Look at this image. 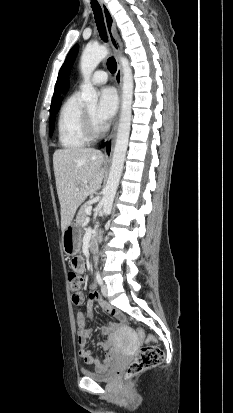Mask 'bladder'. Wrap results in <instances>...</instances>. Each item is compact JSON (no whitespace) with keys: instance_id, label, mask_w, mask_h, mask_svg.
Wrapping results in <instances>:
<instances>
[{"instance_id":"31cf9c89","label":"bladder","mask_w":233,"mask_h":413,"mask_svg":"<svg viewBox=\"0 0 233 413\" xmlns=\"http://www.w3.org/2000/svg\"><path fill=\"white\" fill-rule=\"evenodd\" d=\"M82 374L84 377L93 379L95 381L108 382L113 378L114 373L111 368H105L96 371L83 370Z\"/></svg>"}]
</instances>
